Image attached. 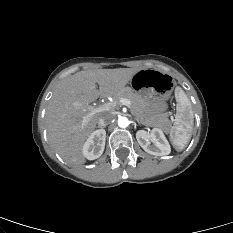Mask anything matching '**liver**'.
I'll return each mask as SVG.
<instances>
[{"mask_svg":"<svg viewBox=\"0 0 233 233\" xmlns=\"http://www.w3.org/2000/svg\"><path fill=\"white\" fill-rule=\"evenodd\" d=\"M138 71L133 68L85 70L58 84L47 107L46 123L49 141L64 160L76 165L85 163L83 145L95 130L98 118L105 113L93 115L82 125L90 111L89 103L99 96H120Z\"/></svg>","mask_w":233,"mask_h":233,"instance_id":"6515ba94","label":"liver"}]
</instances>
